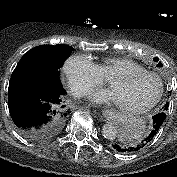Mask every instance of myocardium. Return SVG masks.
I'll return each instance as SVG.
<instances>
[{
	"mask_svg": "<svg viewBox=\"0 0 177 177\" xmlns=\"http://www.w3.org/2000/svg\"><path fill=\"white\" fill-rule=\"evenodd\" d=\"M142 76L151 77L157 82V91L155 95L146 103L138 106H125L122 104H118L120 109L132 113H142L149 110L150 108H152L154 105L158 103V101L160 100L163 94V82L160 76L154 72L148 70H130V71L114 74L113 76L110 77L109 82L113 79L120 80V79H129V78L142 77Z\"/></svg>",
	"mask_w": 177,
	"mask_h": 177,
	"instance_id": "myocardium-1",
	"label": "myocardium"
}]
</instances>
